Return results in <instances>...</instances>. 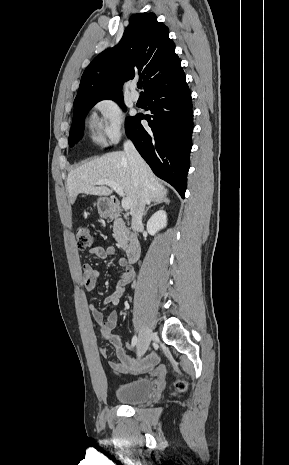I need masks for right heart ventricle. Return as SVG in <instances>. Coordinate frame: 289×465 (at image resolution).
<instances>
[{"label": "right heart ventricle", "instance_id": "right-heart-ventricle-1", "mask_svg": "<svg viewBox=\"0 0 289 465\" xmlns=\"http://www.w3.org/2000/svg\"><path fill=\"white\" fill-rule=\"evenodd\" d=\"M96 120L95 118H91L90 120V129H91V132H92V139L96 142V143H101L102 142V138L97 134L96 132Z\"/></svg>", "mask_w": 289, "mask_h": 465}]
</instances>
